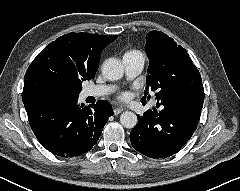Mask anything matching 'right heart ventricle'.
Wrapping results in <instances>:
<instances>
[{
  "instance_id": "obj_1",
  "label": "right heart ventricle",
  "mask_w": 240,
  "mask_h": 191,
  "mask_svg": "<svg viewBox=\"0 0 240 191\" xmlns=\"http://www.w3.org/2000/svg\"><path fill=\"white\" fill-rule=\"evenodd\" d=\"M129 52H138V51H136V50H132V51H129Z\"/></svg>"
}]
</instances>
